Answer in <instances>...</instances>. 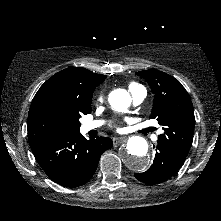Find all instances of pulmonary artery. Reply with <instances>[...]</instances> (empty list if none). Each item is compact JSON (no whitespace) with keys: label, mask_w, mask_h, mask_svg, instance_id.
<instances>
[{"label":"pulmonary artery","mask_w":221,"mask_h":221,"mask_svg":"<svg viewBox=\"0 0 221 221\" xmlns=\"http://www.w3.org/2000/svg\"><path fill=\"white\" fill-rule=\"evenodd\" d=\"M129 89H130V93L132 96L133 105L135 106L140 105L146 97V94H147L146 89L140 85H132L130 86ZM103 124H104V121L102 120L87 121L83 123L82 130L87 132L93 129H97L101 127ZM156 139L157 137L154 136V140Z\"/></svg>","instance_id":"pulmonary-artery-1"}]
</instances>
